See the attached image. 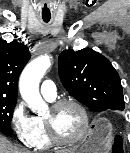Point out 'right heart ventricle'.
Returning a JSON list of instances; mask_svg holds the SVG:
<instances>
[{
	"label": "right heart ventricle",
	"mask_w": 130,
	"mask_h": 153,
	"mask_svg": "<svg viewBox=\"0 0 130 153\" xmlns=\"http://www.w3.org/2000/svg\"><path fill=\"white\" fill-rule=\"evenodd\" d=\"M32 125L34 131V143L32 146L37 150H44L49 148L52 145V140L48 135L46 125L44 122V117L38 115L33 116Z\"/></svg>",
	"instance_id": "right-heart-ventricle-1"
}]
</instances>
